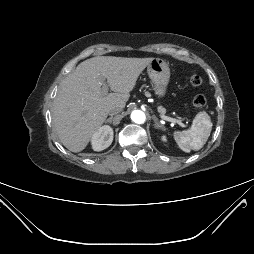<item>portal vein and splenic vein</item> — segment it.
Listing matches in <instances>:
<instances>
[{"instance_id": "18ae733b", "label": "portal vein and splenic vein", "mask_w": 254, "mask_h": 254, "mask_svg": "<svg viewBox=\"0 0 254 254\" xmlns=\"http://www.w3.org/2000/svg\"><path fill=\"white\" fill-rule=\"evenodd\" d=\"M101 93H102V95H106L108 93V85H106L105 83H103V87H102ZM160 118L164 119L166 121L172 122V123H177L181 127H186V125L184 123H182L181 119H174V118L165 116L164 114H160Z\"/></svg>"}]
</instances>
